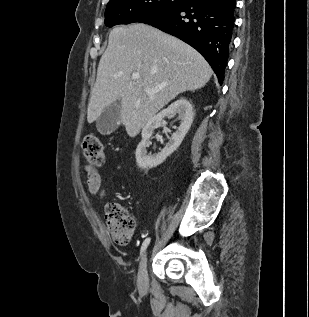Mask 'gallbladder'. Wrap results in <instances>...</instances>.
<instances>
[{"mask_svg":"<svg viewBox=\"0 0 309 317\" xmlns=\"http://www.w3.org/2000/svg\"><path fill=\"white\" fill-rule=\"evenodd\" d=\"M121 116V102L116 101L106 107L96 120V128L99 133L108 135L116 130Z\"/></svg>","mask_w":309,"mask_h":317,"instance_id":"bac80fb5","label":"gallbladder"}]
</instances>
